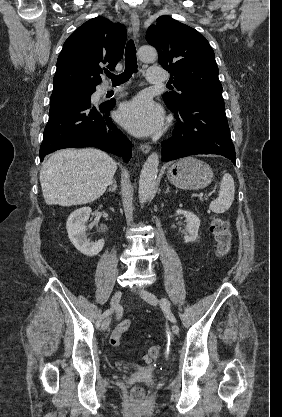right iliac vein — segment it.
I'll list each match as a JSON object with an SVG mask.
<instances>
[{
  "mask_svg": "<svg viewBox=\"0 0 282 417\" xmlns=\"http://www.w3.org/2000/svg\"><path fill=\"white\" fill-rule=\"evenodd\" d=\"M121 297H122V292L121 291H117L113 295V297L111 299V308H112V310H114L118 306V304L121 300ZM109 324H110V317H107L102 323V326H101L102 330L105 331L109 327Z\"/></svg>",
  "mask_w": 282,
  "mask_h": 417,
  "instance_id": "63e3f726",
  "label": "right iliac vein"
}]
</instances>
